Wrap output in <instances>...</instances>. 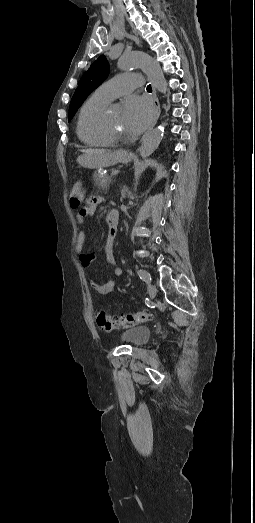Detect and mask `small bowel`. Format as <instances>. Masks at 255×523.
Here are the masks:
<instances>
[{"label":"small bowel","instance_id":"small-bowel-1","mask_svg":"<svg viewBox=\"0 0 255 523\" xmlns=\"http://www.w3.org/2000/svg\"><path fill=\"white\" fill-rule=\"evenodd\" d=\"M96 209V200L91 204L81 208L77 213L76 219L79 224H83L85 219L92 216ZM86 239V233L84 230H80L76 237V252L79 255V261L83 267L89 268L92 262L96 259V254L87 253L84 251V244ZM114 239L115 231L111 230L108 235L107 245L105 248L104 256L107 262L111 265H116V259L113 255L114 250ZM122 274V270L119 267L114 269V275L119 277ZM90 286L100 294H107L111 292L115 286V281L110 279L104 283L97 282L93 277L89 278Z\"/></svg>","mask_w":255,"mask_h":523}]
</instances>
